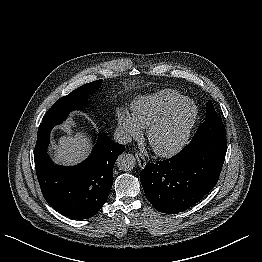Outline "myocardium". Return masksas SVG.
<instances>
[{"instance_id": "myocardium-1", "label": "myocardium", "mask_w": 262, "mask_h": 262, "mask_svg": "<svg viewBox=\"0 0 262 262\" xmlns=\"http://www.w3.org/2000/svg\"><path fill=\"white\" fill-rule=\"evenodd\" d=\"M190 103L193 105V113L189 118L186 126L180 133L178 140L168 148H159L154 143L155 133L163 127L173 116L174 114L185 104ZM199 108L194 100L190 98H183L182 100L175 103L173 106L169 107L158 119H156L149 127L147 131V138L152 146L153 150L160 157H171L178 152H180L188 143V140L191 136L192 130L198 119Z\"/></svg>"}]
</instances>
